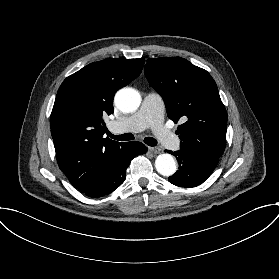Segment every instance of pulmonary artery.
I'll use <instances>...</instances> for the list:
<instances>
[{
	"label": "pulmonary artery",
	"mask_w": 279,
	"mask_h": 279,
	"mask_svg": "<svg viewBox=\"0 0 279 279\" xmlns=\"http://www.w3.org/2000/svg\"><path fill=\"white\" fill-rule=\"evenodd\" d=\"M163 100L160 93L151 91L144 96L141 109L135 116H129L126 119H115L111 122L110 128L113 132L118 133L121 130L139 129L152 127L158 135V140L169 149L174 150L178 147L179 142L175 135L166 131L161 126L164 119L165 111L162 107Z\"/></svg>",
	"instance_id": "1"
}]
</instances>
